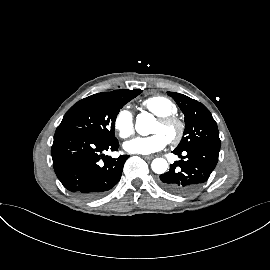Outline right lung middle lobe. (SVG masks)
I'll return each mask as SVG.
<instances>
[{
    "mask_svg": "<svg viewBox=\"0 0 270 270\" xmlns=\"http://www.w3.org/2000/svg\"><path fill=\"white\" fill-rule=\"evenodd\" d=\"M141 93H98L75 103L64 115L55 133H80L103 142L116 140L115 120L120 109Z\"/></svg>",
    "mask_w": 270,
    "mask_h": 270,
    "instance_id": "1",
    "label": "right lung middle lobe"
}]
</instances>
